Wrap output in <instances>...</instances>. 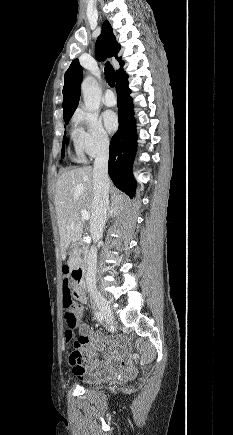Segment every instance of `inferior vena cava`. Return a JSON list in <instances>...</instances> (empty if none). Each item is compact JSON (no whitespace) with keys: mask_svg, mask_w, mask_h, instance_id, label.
Wrapping results in <instances>:
<instances>
[{"mask_svg":"<svg viewBox=\"0 0 233 435\" xmlns=\"http://www.w3.org/2000/svg\"><path fill=\"white\" fill-rule=\"evenodd\" d=\"M109 141L102 144L94 162L93 176V206L90 220V232L92 235H102L107 220L109 204V176L108 156ZM88 269L86 273V285L88 289L96 288L97 249L92 246L88 253Z\"/></svg>","mask_w":233,"mask_h":435,"instance_id":"obj_1","label":"inferior vena cava"}]
</instances>
